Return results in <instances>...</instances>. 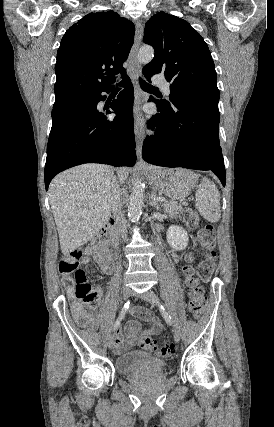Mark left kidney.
Instances as JSON below:
<instances>
[{"label":"left kidney","instance_id":"5707ae66","mask_svg":"<svg viewBox=\"0 0 274 427\" xmlns=\"http://www.w3.org/2000/svg\"><path fill=\"white\" fill-rule=\"evenodd\" d=\"M166 237L173 249H185L188 245V233L181 225H170L166 231Z\"/></svg>","mask_w":274,"mask_h":427}]
</instances>
